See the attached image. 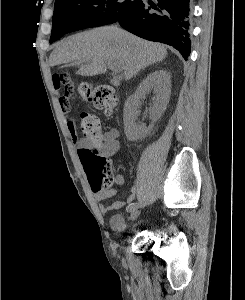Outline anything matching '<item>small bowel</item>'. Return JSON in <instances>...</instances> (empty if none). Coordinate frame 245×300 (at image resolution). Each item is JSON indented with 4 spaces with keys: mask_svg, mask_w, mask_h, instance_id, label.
I'll return each instance as SVG.
<instances>
[{
    "mask_svg": "<svg viewBox=\"0 0 245 300\" xmlns=\"http://www.w3.org/2000/svg\"><path fill=\"white\" fill-rule=\"evenodd\" d=\"M59 103H60L61 110L65 115V121H66V126L68 129V132L71 136L73 144L77 148V152H79V150L81 148L90 147V143L88 141H86L85 139L79 138L76 133V122H75L74 118L72 117V115L70 114L69 103H68L66 96L60 97ZM119 148H120L119 132L117 129L112 128V129L105 131L102 134L101 143L98 146L97 151L100 156L105 157L106 159H109L118 152ZM78 155H79V153H78ZM114 181L116 184L120 185L124 182V178L122 175L117 174L114 176ZM137 191H138V187L136 185L132 186L130 195L128 196L127 201L134 200V198L136 197ZM114 194H115V191L112 189L107 192L96 194L95 199L98 202H101L106 198L114 196ZM123 205H124V201H116L109 207L101 206V209L103 211H107V210H111V209H118V208L122 207Z\"/></svg>",
    "mask_w": 245,
    "mask_h": 300,
    "instance_id": "c3829d8e",
    "label": "small bowel"
}]
</instances>
